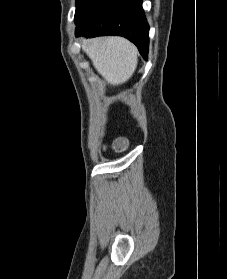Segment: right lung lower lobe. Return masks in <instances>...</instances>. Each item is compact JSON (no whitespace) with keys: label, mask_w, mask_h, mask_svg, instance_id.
I'll return each mask as SVG.
<instances>
[{"label":"right lung lower lobe","mask_w":227,"mask_h":279,"mask_svg":"<svg viewBox=\"0 0 227 279\" xmlns=\"http://www.w3.org/2000/svg\"><path fill=\"white\" fill-rule=\"evenodd\" d=\"M75 23L76 36H123L147 59L149 25L142 0H91Z\"/></svg>","instance_id":"obj_1"}]
</instances>
